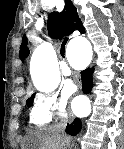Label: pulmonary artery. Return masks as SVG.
<instances>
[{
  "instance_id": "obj_1",
  "label": "pulmonary artery",
  "mask_w": 124,
  "mask_h": 149,
  "mask_svg": "<svg viewBox=\"0 0 124 149\" xmlns=\"http://www.w3.org/2000/svg\"><path fill=\"white\" fill-rule=\"evenodd\" d=\"M62 72L65 75H70V73H71V67L68 66V65H66L65 67H63Z\"/></svg>"
}]
</instances>
